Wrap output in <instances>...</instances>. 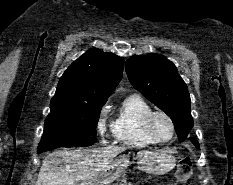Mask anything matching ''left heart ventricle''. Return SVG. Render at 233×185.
I'll use <instances>...</instances> for the list:
<instances>
[{"mask_svg":"<svg viewBox=\"0 0 233 185\" xmlns=\"http://www.w3.org/2000/svg\"><path fill=\"white\" fill-rule=\"evenodd\" d=\"M153 130L160 139H168L171 136V126L163 116L155 117L153 121Z\"/></svg>","mask_w":233,"mask_h":185,"instance_id":"obj_1","label":"left heart ventricle"}]
</instances>
